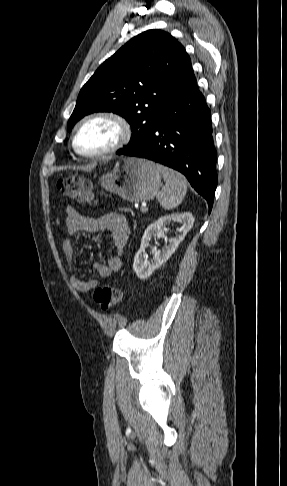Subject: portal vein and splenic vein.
I'll return each mask as SVG.
<instances>
[{
	"mask_svg": "<svg viewBox=\"0 0 287 486\" xmlns=\"http://www.w3.org/2000/svg\"><path fill=\"white\" fill-rule=\"evenodd\" d=\"M148 211V207L146 206V204H142L141 206V212L145 213Z\"/></svg>",
	"mask_w": 287,
	"mask_h": 486,
	"instance_id": "1",
	"label": "portal vein and splenic vein"
}]
</instances>
